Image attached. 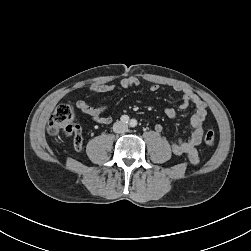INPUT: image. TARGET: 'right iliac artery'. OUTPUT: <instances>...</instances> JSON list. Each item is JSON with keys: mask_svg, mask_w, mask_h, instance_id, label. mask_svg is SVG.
Listing matches in <instances>:
<instances>
[{"mask_svg": "<svg viewBox=\"0 0 251 251\" xmlns=\"http://www.w3.org/2000/svg\"><path fill=\"white\" fill-rule=\"evenodd\" d=\"M121 121L123 122V123H128L129 122V117L127 116V115H123V116H121Z\"/></svg>", "mask_w": 251, "mask_h": 251, "instance_id": "obj_1", "label": "right iliac artery"}]
</instances>
